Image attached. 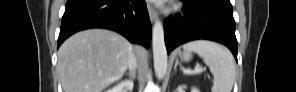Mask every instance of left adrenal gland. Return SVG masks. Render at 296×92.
<instances>
[{
  "mask_svg": "<svg viewBox=\"0 0 296 92\" xmlns=\"http://www.w3.org/2000/svg\"><path fill=\"white\" fill-rule=\"evenodd\" d=\"M178 65L180 66V69H183L182 65L179 63V60L176 59V62H175V64H174V69H176V67H177Z\"/></svg>",
  "mask_w": 296,
  "mask_h": 92,
  "instance_id": "obj_1",
  "label": "left adrenal gland"
}]
</instances>
